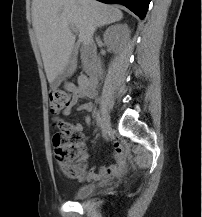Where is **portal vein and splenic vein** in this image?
Segmentation results:
<instances>
[{
	"mask_svg": "<svg viewBox=\"0 0 202 217\" xmlns=\"http://www.w3.org/2000/svg\"><path fill=\"white\" fill-rule=\"evenodd\" d=\"M70 28H71L72 31H74V32H78V29H77L76 27L71 26Z\"/></svg>",
	"mask_w": 202,
	"mask_h": 217,
	"instance_id": "obj_1",
	"label": "portal vein and splenic vein"
}]
</instances>
